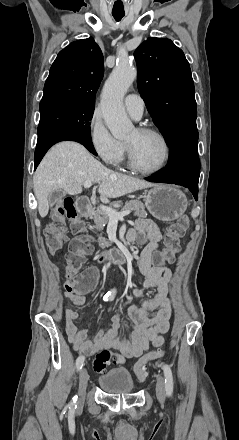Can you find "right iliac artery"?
<instances>
[{"instance_id":"1","label":"right iliac artery","mask_w":239,"mask_h":440,"mask_svg":"<svg viewBox=\"0 0 239 440\" xmlns=\"http://www.w3.org/2000/svg\"><path fill=\"white\" fill-rule=\"evenodd\" d=\"M115 294H116V290L113 289V290L109 291V292L103 297V300H104V301H112V300L114 299V297H115ZM84 360H85V357L82 356V355L79 356V357L77 358V360H76V369H77V371H79L80 369H82V367H83V365H84ZM76 402H77V397H74L73 400L70 402L69 407H70L71 409L76 408Z\"/></svg>"}]
</instances>
